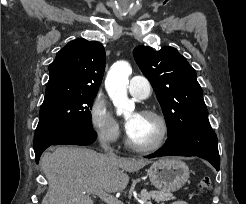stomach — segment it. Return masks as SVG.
I'll return each mask as SVG.
<instances>
[{"instance_id": "1", "label": "stomach", "mask_w": 246, "mask_h": 204, "mask_svg": "<svg viewBox=\"0 0 246 204\" xmlns=\"http://www.w3.org/2000/svg\"><path fill=\"white\" fill-rule=\"evenodd\" d=\"M189 168L176 158H161L148 169L151 184L160 191L179 190L189 178Z\"/></svg>"}]
</instances>
